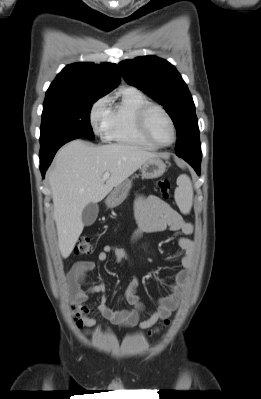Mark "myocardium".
I'll return each instance as SVG.
<instances>
[{"instance_id":"1","label":"myocardium","mask_w":261,"mask_h":399,"mask_svg":"<svg viewBox=\"0 0 261 399\" xmlns=\"http://www.w3.org/2000/svg\"><path fill=\"white\" fill-rule=\"evenodd\" d=\"M159 110L160 112H162L164 114V116L167 118V120L169 121L170 125H171V129H172V140L167 143V144H163L160 142H157L155 139H153V137L151 136L149 130H148V125H147V117L148 114L152 111V110ZM136 125H137V129L139 134L150 144H152L154 147L157 148H166V147H170L172 146L176 139H177V128L175 125V122L172 118V116L169 114V112L161 105L156 104V103H147L145 105H143L136 114Z\"/></svg>"}]
</instances>
